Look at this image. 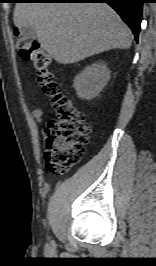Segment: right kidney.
Instances as JSON below:
<instances>
[{
    "label": "right kidney",
    "mask_w": 156,
    "mask_h": 266,
    "mask_svg": "<svg viewBox=\"0 0 156 266\" xmlns=\"http://www.w3.org/2000/svg\"><path fill=\"white\" fill-rule=\"evenodd\" d=\"M110 79V70L103 63L86 67L74 79V88L79 98H95Z\"/></svg>",
    "instance_id": "right-kidney-1"
}]
</instances>
